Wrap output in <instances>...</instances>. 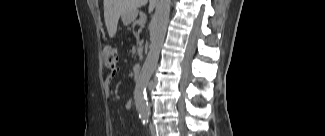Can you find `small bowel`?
<instances>
[{
  "label": "small bowel",
  "instance_id": "small-bowel-1",
  "mask_svg": "<svg viewBox=\"0 0 325 136\" xmlns=\"http://www.w3.org/2000/svg\"><path fill=\"white\" fill-rule=\"evenodd\" d=\"M115 77V73H111L105 80V89L107 93H110V86ZM127 107H130V103L127 104Z\"/></svg>",
  "mask_w": 325,
  "mask_h": 136
}]
</instances>
